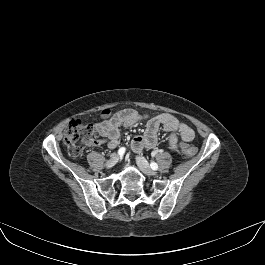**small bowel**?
<instances>
[{
  "mask_svg": "<svg viewBox=\"0 0 265 265\" xmlns=\"http://www.w3.org/2000/svg\"><path fill=\"white\" fill-rule=\"evenodd\" d=\"M143 120L146 121L145 132L135 136L131 141V148L134 152L155 148L158 132L161 128L170 134L169 147L173 151L178 149L179 138L184 142H190L195 137L194 130L191 127L170 114L164 113L150 117L132 108L120 110L108 120L98 123L96 130L109 148H115L119 143L120 129L133 126Z\"/></svg>",
  "mask_w": 265,
  "mask_h": 265,
  "instance_id": "1",
  "label": "small bowel"
}]
</instances>
